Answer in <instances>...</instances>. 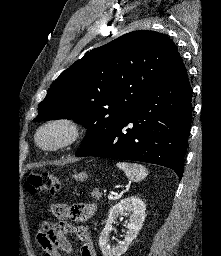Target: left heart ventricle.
<instances>
[{"mask_svg":"<svg viewBox=\"0 0 221 256\" xmlns=\"http://www.w3.org/2000/svg\"><path fill=\"white\" fill-rule=\"evenodd\" d=\"M62 138V132L59 130H51L42 135V141L48 144L55 143Z\"/></svg>","mask_w":221,"mask_h":256,"instance_id":"b2bd125f","label":"left heart ventricle"}]
</instances>
